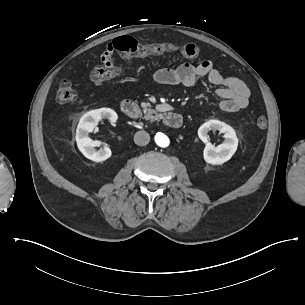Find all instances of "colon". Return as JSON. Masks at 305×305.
Listing matches in <instances>:
<instances>
[{"label":"colon","instance_id":"colon-1","mask_svg":"<svg viewBox=\"0 0 305 305\" xmlns=\"http://www.w3.org/2000/svg\"><path fill=\"white\" fill-rule=\"evenodd\" d=\"M117 45V54L120 61L123 60L124 56L133 57L141 56L145 54H162L170 51H180L186 58L196 59L200 56V50L195 44H162L159 47L155 46H144L139 44V40L134 35H126L124 37H117L114 39ZM115 59V58H114ZM116 64L114 67L109 68L106 65L95 67L90 74V81L95 84H100L108 79L117 76L120 72V64L115 59ZM76 91L72 83L68 80H62L58 86L56 101L60 104H66L75 101ZM256 124L259 128H265L267 120L264 116H259L256 119Z\"/></svg>","mask_w":305,"mask_h":305}]
</instances>
